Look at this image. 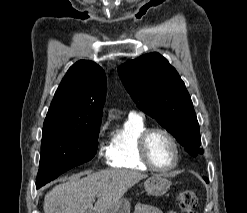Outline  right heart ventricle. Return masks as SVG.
Returning a JSON list of instances; mask_svg holds the SVG:
<instances>
[{"label": "right heart ventricle", "mask_w": 247, "mask_h": 213, "mask_svg": "<svg viewBox=\"0 0 247 213\" xmlns=\"http://www.w3.org/2000/svg\"><path fill=\"white\" fill-rule=\"evenodd\" d=\"M146 129L142 118L129 117L112 133L108 144L110 166L133 171L148 170L138 155V138Z\"/></svg>", "instance_id": "e07e8e85"}]
</instances>
